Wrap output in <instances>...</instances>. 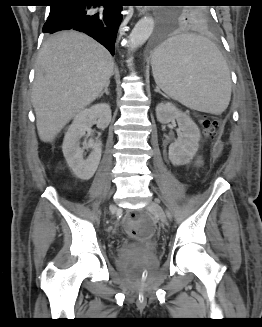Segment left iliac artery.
Masks as SVG:
<instances>
[{
  "label": "left iliac artery",
  "mask_w": 262,
  "mask_h": 327,
  "mask_svg": "<svg viewBox=\"0 0 262 327\" xmlns=\"http://www.w3.org/2000/svg\"><path fill=\"white\" fill-rule=\"evenodd\" d=\"M167 214H168V216H169V217H171V214H170V212H168V211H167Z\"/></svg>",
  "instance_id": "1"
}]
</instances>
